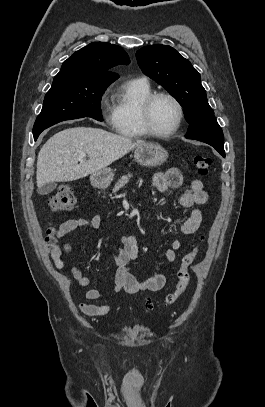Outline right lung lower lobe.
I'll return each mask as SVG.
<instances>
[{
    "label": "right lung lower lobe",
    "instance_id": "right-lung-lower-lobe-1",
    "mask_svg": "<svg viewBox=\"0 0 265 407\" xmlns=\"http://www.w3.org/2000/svg\"><path fill=\"white\" fill-rule=\"evenodd\" d=\"M38 138V136H35L34 139L36 140Z\"/></svg>",
    "mask_w": 265,
    "mask_h": 407
}]
</instances>
